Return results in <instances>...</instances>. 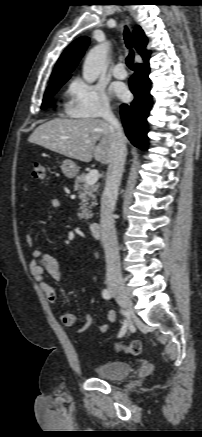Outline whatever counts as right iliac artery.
Returning <instances> with one entry per match:
<instances>
[{"mask_svg":"<svg viewBox=\"0 0 202 437\" xmlns=\"http://www.w3.org/2000/svg\"><path fill=\"white\" fill-rule=\"evenodd\" d=\"M102 296L104 299L110 300L112 298L111 291L109 289H104L102 291ZM121 313L124 314L123 311H121ZM126 329H127V323L125 322L118 334V337H122L126 333Z\"/></svg>","mask_w":202,"mask_h":437,"instance_id":"obj_1","label":"right iliac artery"}]
</instances>
